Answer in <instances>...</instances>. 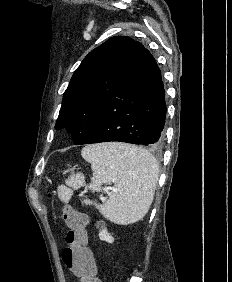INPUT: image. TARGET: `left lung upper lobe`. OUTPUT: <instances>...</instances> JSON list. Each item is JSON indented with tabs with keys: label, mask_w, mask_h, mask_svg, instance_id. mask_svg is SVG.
Masks as SVG:
<instances>
[{
	"label": "left lung upper lobe",
	"mask_w": 232,
	"mask_h": 282,
	"mask_svg": "<svg viewBox=\"0 0 232 282\" xmlns=\"http://www.w3.org/2000/svg\"><path fill=\"white\" fill-rule=\"evenodd\" d=\"M144 50L141 43L127 36L112 37L92 50L64 92L55 128L68 129L74 143L85 139L102 107L130 76Z\"/></svg>",
	"instance_id": "5c2ea615"
}]
</instances>
